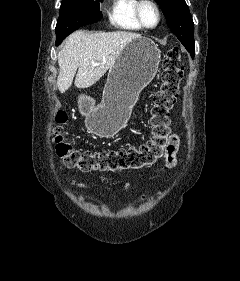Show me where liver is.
<instances>
[{"mask_svg":"<svg viewBox=\"0 0 240 281\" xmlns=\"http://www.w3.org/2000/svg\"><path fill=\"white\" fill-rule=\"evenodd\" d=\"M140 34L126 31L88 33L76 31L58 52L57 86L61 93L73 82L83 89L94 85L113 66L125 46Z\"/></svg>","mask_w":240,"mask_h":281,"instance_id":"liver-1","label":"liver"}]
</instances>
